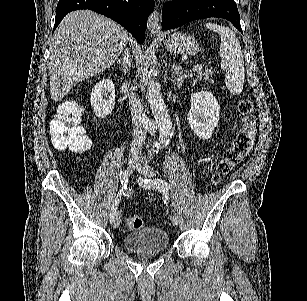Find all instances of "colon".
<instances>
[{"label":"colon","mask_w":307,"mask_h":301,"mask_svg":"<svg viewBox=\"0 0 307 301\" xmlns=\"http://www.w3.org/2000/svg\"><path fill=\"white\" fill-rule=\"evenodd\" d=\"M239 112L243 117V127L229 147L224 151L210 184L217 185L224 176L229 174L250 152L256 135V117L253 102L248 98L240 100ZM82 109L75 102L69 101L61 105L57 115L50 123L53 145L58 149L83 151L90 147L91 139L80 123ZM143 218L131 214L125 218L127 230L135 231L143 227Z\"/></svg>","instance_id":"5ec220e1"}]
</instances>
